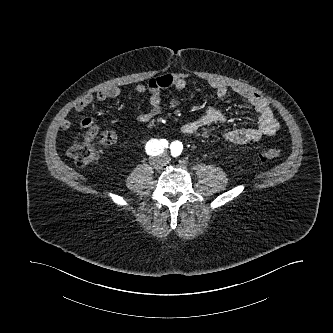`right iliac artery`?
I'll list each match as a JSON object with an SVG mask.
<instances>
[{"instance_id":"obj_1","label":"right iliac artery","mask_w":333,"mask_h":333,"mask_svg":"<svg viewBox=\"0 0 333 333\" xmlns=\"http://www.w3.org/2000/svg\"><path fill=\"white\" fill-rule=\"evenodd\" d=\"M168 147V141L166 139H152L146 144V153L151 156H157L164 151V148Z\"/></svg>"}]
</instances>
